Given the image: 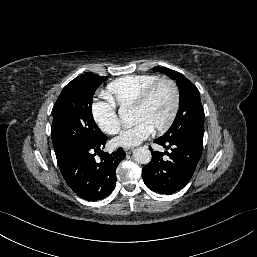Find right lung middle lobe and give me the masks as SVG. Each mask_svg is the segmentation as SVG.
<instances>
[{
    "instance_id": "right-lung-middle-lobe-1",
    "label": "right lung middle lobe",
    "mask_w": 257,
    "mask_h": 257,
    "mask_svg": "<svg viewBox=\"0 0 257 257\" xmlns=\"http://www.w3.org/2000/svg\"><path fill=\"white\" fill-rule=\"evenodd\" d=\"M106 80L104 76L86 73L63 88L52 109L51 137L56 156L71 147L96 145L105 138L93 119L92 99Z\"/></svg>"
}]
</instances>
